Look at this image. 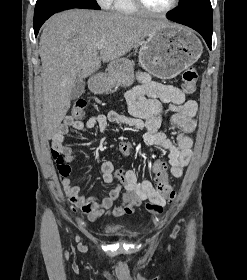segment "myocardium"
I'll return each instance as SVG.
<instances>
[{
	"label": "myocardium",
	"mask_w": 247,
	"mask_h": 280,
	"mask_svg": "<svg viewBox=\"0 0 247 280\" xmlns=\"http://www.w3.org/2000/svg\"><path fill=\"white\" fill-rule=\"evenodd\" d=\"M134 5L137 7V9L145 14L151 15V16H166L168 14H170L171 12H173L179 5L180 0H173L171 5L164 9V10H152L150 9L143 0H132Z\"/></svg>",
	"instance_id": "f54148a6"
}]
</instances>
